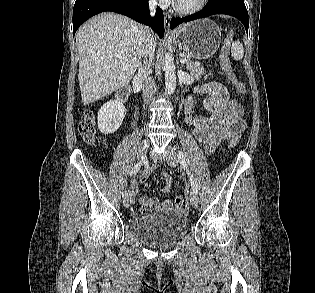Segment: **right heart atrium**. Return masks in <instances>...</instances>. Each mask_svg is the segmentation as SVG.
Masks as SVG:
<instances>
[{
	"label": "right heart atrium",
	"mask_w": 315,
	"mask_h": 293,
	"mask_svg": "<svg viewBox=\"0 0 315 293\" xmlns=\"http://www.w3.org/2000/svg\"><path fill=\"white\" fill-rule=\"evenodd\" d=\"M154 2H158L160 5L166 4L167 0H152Z\"/></svg>",
	"instance_id": "obj_1"
}]
</instances>
